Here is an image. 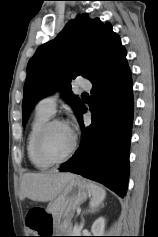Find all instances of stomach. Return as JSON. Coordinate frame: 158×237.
Returning <instances> with one entry per match:
<instances>
[{"instance_id":"stomach-1","label":"stomach","mask_w":158,"mask_h":237,"mask_svg":"<svg viewBox=\"0 0 158 237\" xmlns=\"http://www.w3.org/2000/svg\"><path fill=\"white\" fill-rule=\"evenodd\" d=\"M90 195V188L87 182L75 177L62 190V192L54 198L47 206V212L54 221V229L58 233L61 231L62 220H71L74 212Z\"/></svg>"}]
</instances>
